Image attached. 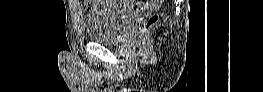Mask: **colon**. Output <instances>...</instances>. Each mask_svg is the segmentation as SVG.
<instances>
[{
	"mask_svg": "<svg viewBox=\"0 0 263 92\" xmlns=\"http://www.w3.org/2000/svg\"><path fill=\"white\" fill-rule=\"evenodd\" d=\"M89 3H90V2H89ZM141 4H142L141 2H135V3H134L135 9L138 10ZM157 20H158V15H156V14L152 15V16L149 18L148 22L146 23V25H145V27H144L143 33H146V32L148 31V29H150V28L157 22Z\"/></svg>",
	"mask_w": 263,
	"mask_h": 92,
	"instance_id": "1",
	"label": "colon"
}]
</instances>
